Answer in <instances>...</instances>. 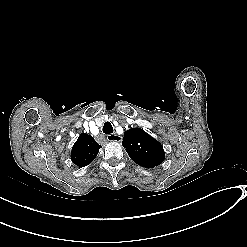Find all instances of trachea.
<instances>
[{"mask_svg":"<svg viewBox=\"0 0 247 247\" xmlns=\"http://www.w3.org/2000/svg\"><path fill=\"white\" fill-rule=\"evenodd\" d=\"M103 132L105 134H111V133H113V126H112V124L109 121H107V122L104 123Z\"/></svg>","mask_w":247,"mask_h":247,"instance_id":"trachea-1","label":"trachea"}]
</instances>
